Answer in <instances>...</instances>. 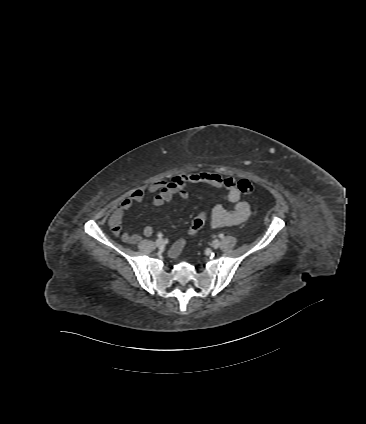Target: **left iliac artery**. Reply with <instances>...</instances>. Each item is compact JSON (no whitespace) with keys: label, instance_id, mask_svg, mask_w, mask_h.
<instances>
[{"label":"left iliac artery","instance_id":"1","mask_svg":"<svg viewBox=\"0 0 366 424\" xmlns=\"http://www.w3.org/2000/svg\"><path fill=\"white\" fill-rule=\"evenodd\" d=\"M219 237H220V238H223V237H224V234H222V233H221V234H219Z\"/></svg>","mask_w":366,"mask_h":424}]
</instances>
